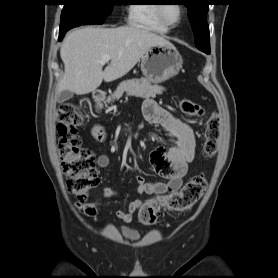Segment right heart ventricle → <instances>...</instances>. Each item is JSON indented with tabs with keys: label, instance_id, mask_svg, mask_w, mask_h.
<instances>
[{
	"label": "right heart ventricle",
	"instance_id": "e07e8e85",
	"mask_svg": "<svg viewBox=\"0 0 278 278\" xmlns=\"http://www.w3.org/2000/svg\"><path fill=\"white\" fill-rule=\"evenodd\" d=\"M157 9V4H132L128 9V20L130 24L136 27L159 34H165L168 28L160 21Z\"/></svg>",
	"mask_w": 278,
	"mask_h": 278
}]
</instances>
